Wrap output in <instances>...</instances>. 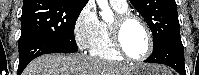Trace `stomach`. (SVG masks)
Segmentation results:
<instances>
[{
  "instance_id": "stomach-1",
  "label": "stomach",
  "mask_w": 199,
  "mask_h": 75,
  "mask_svg": "<svg viewBox=\"0 0 199 75\" xmlns=\"http://www.w3.org/2000/svg\"><path fill=\"white\" fill-rule=\"evenodd\" d=\"M164 68L153 64H140L132 68L128 75H164Z\"/></svg>"
}]
</instances>
